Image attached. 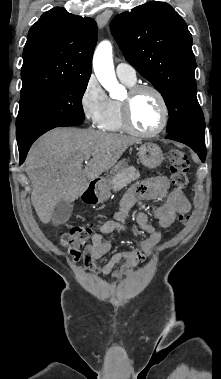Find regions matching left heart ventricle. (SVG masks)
<instances>
[{
	"instance_id": "b2bd125f",
	"label": "left heart ventricle",
	"mask_w": 221,
	"mask_h": 379,
	"mask_svg": "<svg viewBox=\"0 0 221 379\" xmlns=\"http://www.w3.org/2000/svg\"><path fill=\"white\" fill-rule=\"evenodd\" d=\"M132 119L141 131H152L158 127L161 120V108L153 93L142 92L133 100Z\"/></svg>"
}]
</instances>
